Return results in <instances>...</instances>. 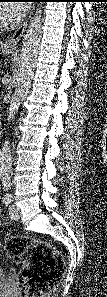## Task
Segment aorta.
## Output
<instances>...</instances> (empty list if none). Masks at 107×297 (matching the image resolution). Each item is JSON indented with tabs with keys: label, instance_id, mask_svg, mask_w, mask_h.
Masks as SVG:
<instances>
[{
	"label": "aorta",
	"instance_id": "obj_1",
	"mask_svg": "<svg viewBox=\"0 0 107 297\" xmlns=\"http://www.w3.org/2000/svg\"><path fill=\"white\" fill-rule=\"evenodd\" d=\"M41 33V10H37L34 17L31 19L26 34L23 38L16 75V89L7 110L8 124L14 121L15 115L17 114L22 101L30 89L41 42ZM10 161V145L8 137H6L5 142L2 144L0 154L1 169L8 168L10 166Z\"/></svg>",
	"mask_w": 107,
	"mask_h": 297
}]
</instances>
